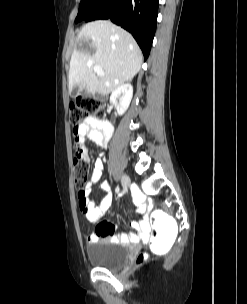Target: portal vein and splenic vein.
<instances>
[{
    "label": "portal vein and splenic vein",
    "instance_id": "obj_1",
    "mask_svg": "<svg viewBox=\"0 0 247 304\" xmlns=\"http://www.w3.org/2000/svg\"><path fill=\"white\" fill-rule=\"evenodd\" d=\"M93 69L98 76H104V71L102 70V68L99 65H95L93 67Z\"/></svg>",
    "mask_w": 247,
    "mask_h": 304
}]
</instances>
